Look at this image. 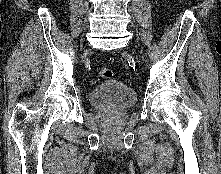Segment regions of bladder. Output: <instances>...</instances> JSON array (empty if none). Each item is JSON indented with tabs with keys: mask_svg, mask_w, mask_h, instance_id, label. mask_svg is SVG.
Listing matches in <instances>:
<instances>
[{
	"mask_svg": "<svg viewBox=\"0 0 221 174\" xmlns=\"http://www.w3.org/2000/svg\"><path fill=\"white\" fill-rule=\"evenodd\" d=\"M89 101L96 108H129L136 102V93L124 82L110 78L90 91Z\"/></svg>",
	"mask_w": 221,
	"mask_h": 174,
	"instance_id": "obj_1",
	"label": "bladder"
}]
</instances>
